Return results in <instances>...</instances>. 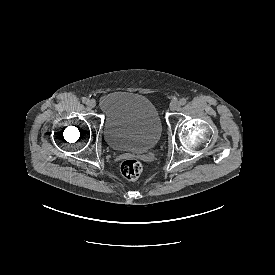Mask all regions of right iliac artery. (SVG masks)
<instances>
[{
    "instance_id": "1",
    "label": "right iliac artery",
    "mask_w": 275,
    "mask_h": 275,
    "mask_svg": "<svg viewBox=\"0 0 275 275\" xmlns=\"http://www.w3.org/2000/svg\"><path fill=\"white\" fill-rule=\"evenodd\" d=\"M82 102L87 104L89 102V99L87 97H83Z\"/></svg>"
}]
</instances>
